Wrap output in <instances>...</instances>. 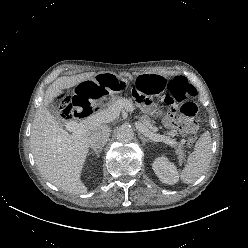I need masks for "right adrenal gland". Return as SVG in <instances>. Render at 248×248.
<instances>
[{
  "label": "right adrenal gland",
  "mask_w": 248,
  "mask_h": 248,
  "mask_svg": "<svg viewBox=\"0 0 248 248\" xmlns=\"http://www.w3.org/2000/svg\"><path fill=\"white\" fill-rule=\"evenodd\" d=\"M102 151V148L101 149H98V150H94L92 152H90L88 155L92 154V153H95L97 157H99V154L101 153Z\"/></svg>",
  "instance_id": "1"
}]
</instances>
